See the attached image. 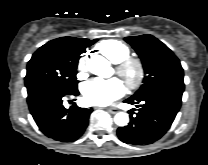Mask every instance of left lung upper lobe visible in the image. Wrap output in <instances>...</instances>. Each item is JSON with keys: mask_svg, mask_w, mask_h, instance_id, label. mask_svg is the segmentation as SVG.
Returning <instances> with one entry per match:
<instances>
[{"mask_svg": "<svg viewBox=\"0 0 208 165\" xmlns=\"http://www.w3.org/2000/svg\"><path fill=\"white\" fill-rule=\"evenodd\" d=\"M125 41L132 45L141 58L145 73L143 85L132 98L140 97L164 84H184L183 68L179 59L157 38L145 34L126 37Z\"/></svg>", "mask_w": 208, "mask_h": 165, "instance_id": "5c2ea615", "label": "left lung upper lobe"}]
</instances>
